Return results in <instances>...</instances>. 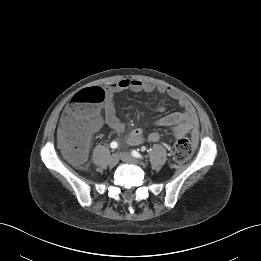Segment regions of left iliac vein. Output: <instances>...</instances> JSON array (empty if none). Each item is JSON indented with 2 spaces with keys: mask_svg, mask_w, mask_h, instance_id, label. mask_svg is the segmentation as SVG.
<instances>
[{
  "mask_svg": "<svg viewBox=\"0 0 261 261\" xmlns=\"http://www.w3.org/2000/svg\"><path fill=\"white\" fill-rule=\"evenodd\" d=\"M119 157L121 160H123L124 162H127V163H131V164L139 163V161L136 158H134L131 154H129L127 152H120Z\"/></svg>",
  "mask_w": 261,
  "mask_h": 261,
  "instance_id": "left-iliac-vein-1",
  "label": "left iliac vein"
}]
</instances>
